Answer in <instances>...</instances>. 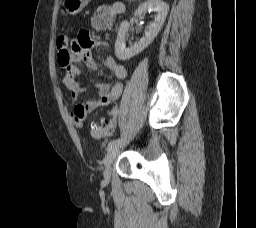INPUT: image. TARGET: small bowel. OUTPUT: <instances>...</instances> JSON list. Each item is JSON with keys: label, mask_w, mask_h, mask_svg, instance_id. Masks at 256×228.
Listing matches in <instances>:
<instances>
[{"label": "small bowel", "mask_w": 256, "mask_h": 228, "mask_svg": "<svg viewBox=\"0 0 256 228\" xmlns=\"http://www.w3.org/2000/svg\"><path fill=\"white\" fill-rule=\"evenodd\" d=\"M124 11L121 3L103 5L98 7L90 17V25L93 29L104 31L113 22L114 18ZM97 41L88 30H82L66 49H59L58 61L64 70L62 82L70 91L73 99L71 116L76 127H82L90 113L97 108L104 107L117 100L123 91V79L127 72L123 65L116 62L112 57L104 59L105 67L113 73L115 80L111 84L99 83L97 97L86 101H80L86 87L81 81V68L97 69V64L91 54L92 49L99 47ZM115 127V121L108 123L107 133H111Z\"/></svg>", "instance_id": "c3829d8e"}]
</instances>
